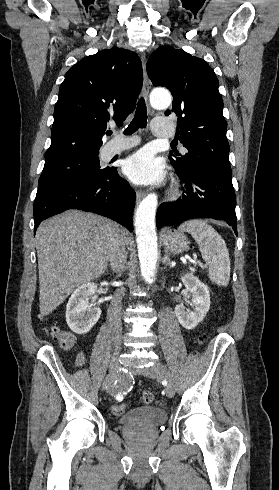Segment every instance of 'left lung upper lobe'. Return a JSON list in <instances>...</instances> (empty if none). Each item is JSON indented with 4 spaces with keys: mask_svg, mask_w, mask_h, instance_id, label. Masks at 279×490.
<instances>
[{
    "mask_svg": "<svg viewBox=\"0 0 279 490\" xmlns=\"http://www.w3.org/2000/svg\"><path fill=\"white\" fill-rule=\"evenodd\" d=\"M147 73L154 86H165L173 95L172 110L166 115L176 113L177 139L188 150L183 156L170 152L176 172L199 165L232 172L223 101L212 68L203 59L164 46L151 54Z\"/></svg>",
    "mask_w": 279,
    "mask_h": 490,
    "instance_id": "left-lung-upper-lobe-1",
    "label": "left lung upper lobe"
}]
</instances>
